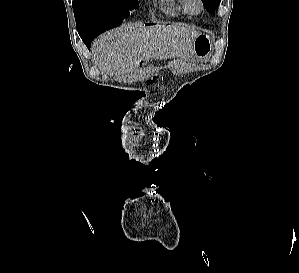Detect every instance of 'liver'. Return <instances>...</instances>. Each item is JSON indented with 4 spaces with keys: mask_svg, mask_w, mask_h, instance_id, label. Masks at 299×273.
I'll return each instance as SVG.
<instances>
[{
    "mask_svg": "<svg viewBox=\"0 0 299 273\" xmlns=\"http://www.w3.org/2000/svg\"><path fill=\"white\" fill-rule=\"evenodd\" d=\"M197 35L196 28L187 25L133 24L103 34L93 51L100 68L128 73L136 71L142 60L191 57Z\"/></svg>",
    "mask_w": 299,
    "mask_h": 273,
    "instance_id": "liver-1",
    "label": "liver"
}]
</instances>
